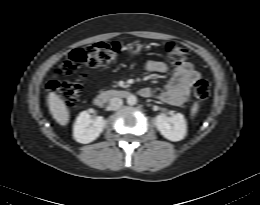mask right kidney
Wrapping results in <instances>:
<instances>
[{
    "label": "right kidney",
    "instance_id": "1",
    "mask_svg": "<svg viewBox=\"0 0 260 205\" xmlns=\"http://www.w3.org/2000/svg\"><path fill=\"white\" fill-rule=\"evenodd\" d=\"M105 126L106 120L103 117L98 116L93 119L88 111H83L74 124V139L79 143H90L99 137Z\"/></svg>",
    "mask_w": 260,
    "mask_h": 205
}]
</instances>
